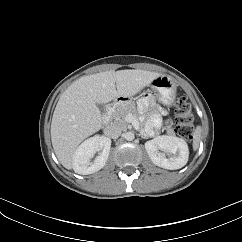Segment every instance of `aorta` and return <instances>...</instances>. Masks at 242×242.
I'll return each mask as SVG.
<instances>
[{"label": "aorta", "instance_id": "aorta-1", "mask_svg": "<svg viewBox=\"0 0 242 242\" xmlns=\"http://www.w3.org/2000/svg\"><path fill=\"white\" fill-rule=\"evenodd\" d=\"M124 138L127 140V141H132V140H134V138H135V135H134V133L133 132H126L125 134H124Z\"/></svg>", "mask_w": 242, "mask_h": 242}]
</instances>
